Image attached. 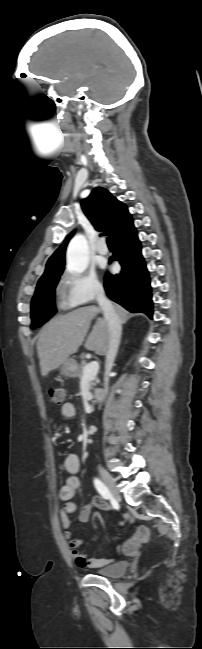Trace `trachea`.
Segmentation results:
<instances>
[{"mask_svg": "<svg viewBox=\"0 0 202 649\" xmlns=\"http://www.w3.org/2000/svg\"><path fill=\"white\" fill-rule=\"evenodd\" d=\"M107 244L108 245H113V237L112 236L107 237Z\"/></svg>", "mask_w": 202, "mask_h": 649, "instance_id": "trachea-1", "label": "trachea"}]
</instances>
